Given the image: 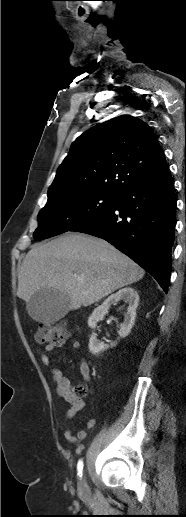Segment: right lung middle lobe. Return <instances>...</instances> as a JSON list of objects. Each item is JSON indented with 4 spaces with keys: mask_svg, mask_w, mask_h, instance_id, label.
<instances>
[{
    "mask_svg": "<svg viewBox=\"0 0 186 517\" xmlns=\"http://www.w3.org/2000/svg\"><path fill=\"white\" fill-rule=\"evenodd\" d=\"M118 198L119 195L86 192L50 199L38 214V228L33 237L40 240L71 231L106 212Z\"/></svg>",
    "mask_w": 186,
    "mask_h": 517,
    "instance_id": "obj_1",
    "label": "right lung middle lobe"
}]
</instances>
